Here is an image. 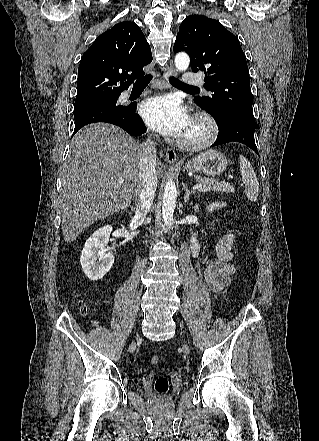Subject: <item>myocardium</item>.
Returning <instances> with one entry per match:
<instances>
[{
    "mask_svg": "<svg viewBox=\"0 0 319 441\" xmlns=\"http://www.w3.org/2000/svg\"><path fill=\"white\" fill-rule=\"evenodd\" d=\"M191 124L201 128V134L196 137H185L179 140V146L186 150H200L212 144L218 135V125L215 119L205 112H199L192 118Z\"/></svg>",
    "mask_w": 319,
    "mask_h": 441,
    "instance_id": "myocardium-1",
    "label": "myocardium"
}]
</instances>
